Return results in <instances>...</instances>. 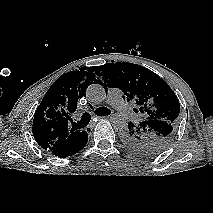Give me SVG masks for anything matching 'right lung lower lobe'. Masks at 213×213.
Returning <instances> with one entry per match:
<instances>
[{
    "mask_svg": "<svg viewBox=\"0 0 213 213\" xmlns=\"http://www.w3.org/2000/svg\"><path fill=\"white\" fill-rule=\"evenodd\" d=\"M88 141V134L86 131L82 133V135L76 139L73 143L69 144L64 148H60L52 151L51 153L59 158H66L68 156H72L81 149L85 147Z\"/></svg>",
    "mask_w": 213,
    "mask_h": 213,
    "instance_id": "right-lung-lower-lobe-1",
    "label": "right lung lower lobe"
}]
</instances>
